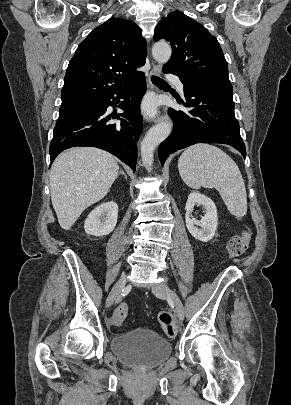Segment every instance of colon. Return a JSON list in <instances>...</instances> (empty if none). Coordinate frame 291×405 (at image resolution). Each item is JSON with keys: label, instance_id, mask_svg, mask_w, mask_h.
<instances>
[{"label": "colon", "instance_id": "1", "mask_svg": "<svg viewBox=\"0 0 291 405\" xmlns=\"http://www.w3.org/2000/svg\"><path fill=\"white\" fill-rule=\"evenodd\" d=\"M251 239V233L248 229L240 234L233 236L227 246L226 260H232L241 256L248 248ZM129 306L127 303H120L109 318L111 326H119L128 315ZM158 320L163 328L165 335L174 338L177 335V328L173 316L168 311H160Z\"/></svg>", "mask_w": 291, "mask_h": 405}]
</instances>
